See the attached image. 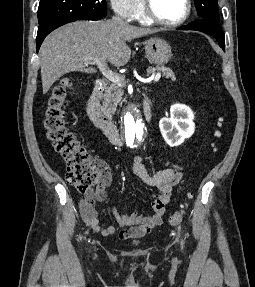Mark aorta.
Wrapping results in <instances>:
<instances>
[{"mask_svg": "<svg viewBox=\"0 0 255 287\" xmlns=\"http://www.w3.org/2000/svg\"><path fill=\"white\" fill-rule=\"evenodd\" d=\"M144 123L141 119L139 111L136 108L130 109L124 115L125 140L127 145L133 146L142 141L144 135Z\"/></svg>", "mask_w": 255, "mask_h": 287, "instance_id": "obj_1", "label": "aorta"}]
</instances>
